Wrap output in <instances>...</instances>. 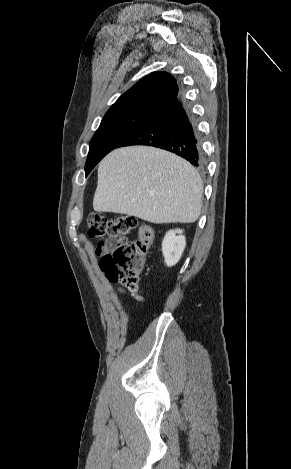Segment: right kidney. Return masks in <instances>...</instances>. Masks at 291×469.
I'll list each match as a JSON object with an SVG mask.
<instances>
[{
  "label": "right kidney",
  "mask_w": 291,
  "mask_h": 469,
  "mask_svg": "<svg viewBox=\"0 0 291 469\" xmlns=\"http://www.w3.org/2000/svg\"><path fill=\"white\" fill-rule=\"evenodd\" d=\"M182 233L180 229L170 230L163 239L162 253L168 267L174 266L180 260L185 249L186 240Z\"/></svg>",
  "instance_id": "right-kidney-1"
}]
</instances>
